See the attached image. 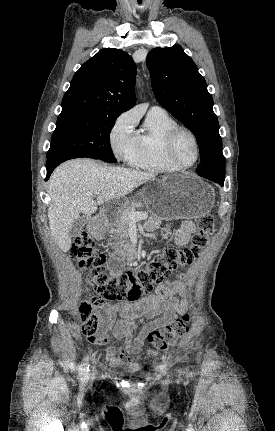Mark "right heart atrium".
<instances>
[{"label": "right heart atrium", "mask_w": 275, "mask_h": 431, "mask_svg": "<svg viewBox=\"0 0 275 431\" xmlns=\"http://www.w3.org/2000/svg\"><path fill=\"white\" fill-rule=\"evenodd\" d=\"M135 117L130 112L121 113L114 121L109 142L117 159L131 164L138 148V136L134 129Z\"/></svg>", "instance_id": "1"}]
</instances>
